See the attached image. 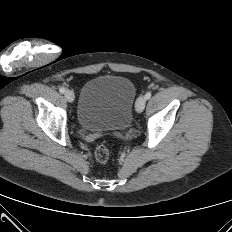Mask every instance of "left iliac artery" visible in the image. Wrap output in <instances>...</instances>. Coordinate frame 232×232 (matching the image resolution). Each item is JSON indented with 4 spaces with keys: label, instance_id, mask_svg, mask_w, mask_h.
Returning a JSON list of instances; mask_svg holds the SVG:
<instances>
[{
    "label": "left iliac artery",
    "instance_id": "obj_1",
    "mask_svg": "<svg viewBox=\"0 0 232 232\" xmlns=\"http://www.w3.org/2000/svg\"><path fill=\"white\" fill-rule=\"evenodd\" d=\"M151 98V92H147L146 94H145V99H150Z\"/></svg>",
    "mask_w": 232,
    "mask_h": 232
}]
</instances>
